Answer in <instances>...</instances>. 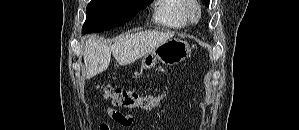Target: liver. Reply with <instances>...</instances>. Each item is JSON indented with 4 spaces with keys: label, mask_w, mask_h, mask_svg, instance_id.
I'll return each mask as SVG.
<instances>
[{
    "label": "liver",
    "mask_w": 299,
    "mask_h": 130,
    "mask_svg": "<svg viewBox=\"0 0 299 130\" xmlns=\"http://www.w3.org/2000/svg\"><path fill=\"white\" fill-rule=\"evenodd\" d=\"M173 36L171 32L142 31L123 36L112 45L98 36H88L84 42L83 53L86 78L105 71L110 64L111 53L119 65L125 66L135 62Z\"/></svg>",
    "instance_id": "6515ba94"
}]
</instances>
